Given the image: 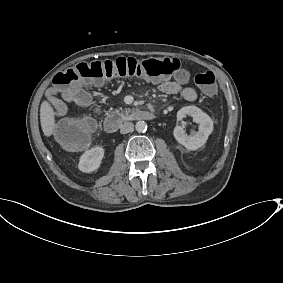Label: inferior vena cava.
Returning a JSON list of instances; mask_svg holds the SVG:
<instances>
[{
	"label": "inferior vena cava",
	"instance_id": "1",
	"mask_svg": "<svg viewBox=\"0 0 283 283\" xmlns=\"http://www.w3.org/2000/svg\"><path fill=\"white\" fill-rule=\"evenodd\" d=\"M134 125L131 122H125L120 126V133L127 134L133 131Z\"/></svg>",
	"mask_w": 283,
	"mask_h": 283
}]
</instances>
